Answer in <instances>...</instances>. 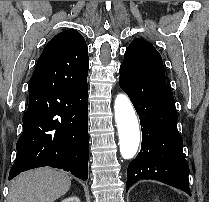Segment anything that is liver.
Here are the masks:
<instances>
[{
	"label": "liver",
	"mask_w": 209,
	"mask_h": 202,
	"mask_svg": "<svg viewBox=\"0 0 209 202\" xmlns=\"http://www.w3.org/2000/svg\"><path fill=\"white\" fill-rule=\"evenodd\" d=\"M71 178L63 171L42 168L20 174L10 184L7 202H53L65 195Z\"/></svg>",
	"instance_id": "obj_1"
}]
</instances>
